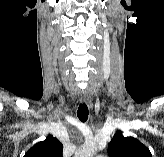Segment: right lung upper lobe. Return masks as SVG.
I'll return each instance as SVG.
<instances>
[{
  "mask_svg": "<svg viewBox=\"0 0 164 157\" xmlns=\"http://www.w3.org/2000/svg\"><path fill=\"white\" fill-rule=\"evenodd\" d=\"M62 150V143L49 135L44 141L38 142L29 149L24 157H63Z\"/></svg>",
  "mask_w": 164,
  "mask_h": 157,
  "instance_id": "obj_1",
  "label": "right lung upper lobe"
}]
</instances>
